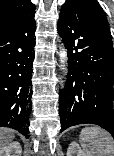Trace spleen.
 <instances>
[{"label":"spleen","instance_id":"spleen-1","mask_svg":"<svg viewBox=\"0 0 114 156\" xmlns=\"http://www.w3.org/2000/svg\"><path fill=\"white\" fill-rule=\"evenodd\" d=\"M79 142L86 156H113L114 142L104 129L92 126L81 130Z\"/></svg>","mask_w":114,"mask_h":156}]
</instances>
